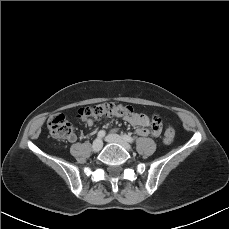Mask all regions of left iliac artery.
Listing matches in <instances>:
<instances>
[{
    "label": "left iliac artery",
    "mask_w": 229,
    "mask_h": 229,
    "mask_svg": "<svg viewBox=\"0 0 229 229\" xmlns=\"http://www.w3.org/2000/svg\"><path fill=\"white\" fill-rule=\"evenodd\" d=\"M122 138L127 142H130V143L134 142V139L130 135H127V134H123Z\"/></svg>",
    "instance_id": "obj_1"
}]
</instances>
